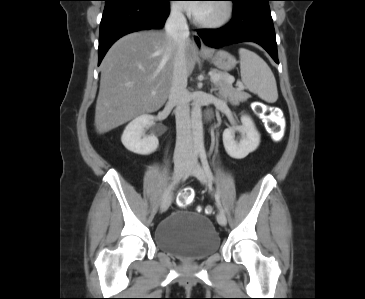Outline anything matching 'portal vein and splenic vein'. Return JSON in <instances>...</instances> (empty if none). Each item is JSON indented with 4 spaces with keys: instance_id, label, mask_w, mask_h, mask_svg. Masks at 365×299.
<instances>
[{
    "instance_id": "obj_1",
    "label": "portal vein and splenic vein",
    "mask_w": 365,
    "mask_h": 299,
    "mask_svg": "<svg viewBox=\"0 0 365 299\" xmlns=\"http://www.w3.org/2000/svg\"><path fill=\"white\" fill-rule=\"evenodd\" d=\"M210 76H211V80L214 83L218 82L220 80V78H221L219 75L213 74V73H210ZM233 81H234V79H231V82H233ZM152 95H155V92H152Z\"/></svg>"
}]
</instances>
